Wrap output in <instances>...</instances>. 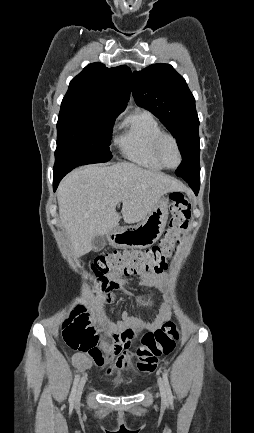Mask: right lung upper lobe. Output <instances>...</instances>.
Here are the masks:
<instances>
[{
	"label": "right lung upper lobe",
	"mask_w": 254,
	"mask_h": 433,
	"mask_svg": "<svg viewBox=\"0 0 254 433\" xmlns=\"http://www.w3.org/2000/svg\"><path fill=\"white\" fill-rule=\"evenodd\" d=\"M130 77L131 70L126 65L107 68L102 63L89 64L71 80L61 107L95 106L117 117L130 98Z\"/></svg>",
	"instance_id": "right-lung-upper-lobe-1"
}]
</instances>
